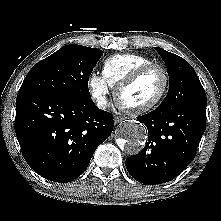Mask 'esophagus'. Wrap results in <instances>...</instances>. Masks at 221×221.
Wrapping results in <instances>:
<instances>
[{
	"label": "esophagus",
	"mask_w": 221,
	"mask_h": 221,
	"mask_svg": "<svg viewBox=\"0 0 221 221\" xmlns=\"http://www.w3.org/2000/svg\"><path fill=\"white\" fill-rule=\"evenodd\" d=\"M125 118L123 116H115L114 117V123L118 124L120 123L122 120H124Z\"/></svg>",
	"instance_id": "obj_1"
}]
</instances>
